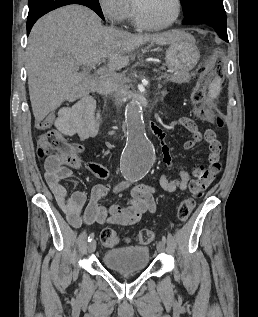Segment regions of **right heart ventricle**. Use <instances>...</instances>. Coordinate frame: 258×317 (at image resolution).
Segmentation results:
<instances>
[{
	"label": "right heart ventricle",
	"mask_w": 258,
	"mask_h": 317,
	"mask_svg": "<svg viewBox=\"0 0 258 317\" xmlns=\"http://www.w3.org/2000/svg\"><path fill=\"white\" fill-rule=\"evenodd\" d=\"M130 11L134 8L135 2L134 1H130ZM132 17V14L130 15Z\"/></svg>",
	"instance_id": "1"
}]
</instances>
